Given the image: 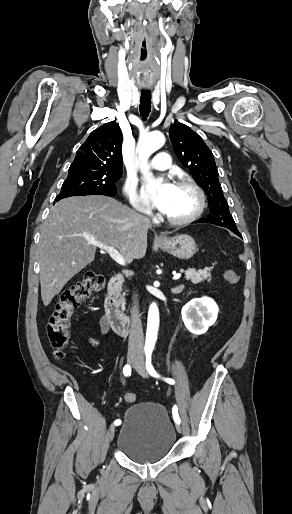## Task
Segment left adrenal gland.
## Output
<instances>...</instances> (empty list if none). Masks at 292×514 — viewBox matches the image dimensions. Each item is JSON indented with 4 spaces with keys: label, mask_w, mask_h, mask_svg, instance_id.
<instances>
[{
    "label": "left adrenal gland",
    "mask_w": 292,
    "mask_h": 514,
    "mask_svg": "<svg viewBox=\"0 0 292 514\" xmlns=\"http://www.w3.org/2000/svg\"><path fill=\"white\" fill-rule=\"evenodd\" d=\"M184 286H177V288H172V292H174V294H180V292H182Z\"/></svg>",
    "instance_id": "obj_1"
}]
</instances>
